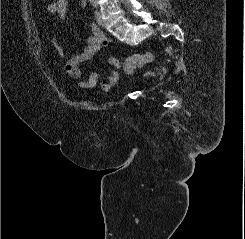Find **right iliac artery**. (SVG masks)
Here are the masks:
<instances>
[{
	"mask_svg": "<svg viewBox=\"0 0 245 239\" xmlns=\"http://www.w3.org/2000/svg\"><path fill=\"white\" fill-rule=\"evenodd\" d=\"M91 3H93L94 0H89Z\"/></svg>",
	"mask_w": 245,
	"mask_h": 239,
	"instance_id": "obj_1",
	"label": "right iliac artery"
}]
</instances>
